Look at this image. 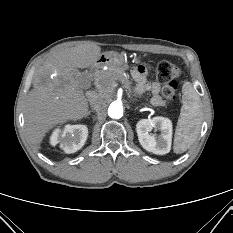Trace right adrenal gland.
<instances>
[{"label": "right adrenal gland", "instance_id": "2a0ac1e0", "mask_svg": "<svg viewBox=\"0 0 233 233\" xmlns=\"http://www.w3.org/2000/svg\"><path fill=\"white\" fill-rule=\"evenodd\" d=\"M91 114V111H88L86 114V117L89 116Z\"/></svg>", "mask_w": 233, "mask_h": 233}]
</instances>
